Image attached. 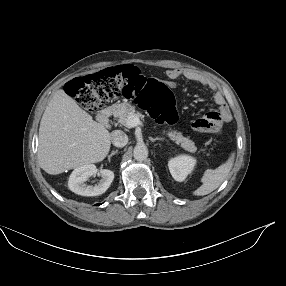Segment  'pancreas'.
I'll use <instances>...</instances> for the list:
<instances>
[{
  "mask_svg": "<svg viewBox=\"0 0 286 286\" xmlns=\"http://www.w3.org/2000/svg\"><path fill=\"white\" fill-rule=\"evenodd\" d=\"M111 109L113 116L118 120L119 123L125 126H128L127 120L131 114H136L138 117L143 118V115L137 112L135 110V107L129 102L113 104L111 106ZM167 136L186 151L195 152L197 150L196 146L194 145V142L188 137H183L181 132L170 130L167 132Z\"/></svg>",
  "mask_w": 286,
  "mask_h": 286,
  "instance_id": "obj_1",
  "label": "pancreas"
}]
</instances>
